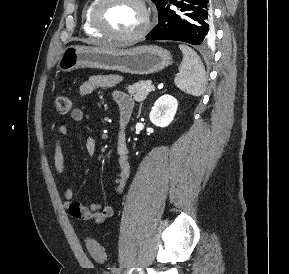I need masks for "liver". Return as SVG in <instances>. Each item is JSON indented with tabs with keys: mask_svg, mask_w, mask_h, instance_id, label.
Segmentation results:
<instances>
[{
	"mask_svg": "<svg viewBox=\"0 0 289 274\" xmlns=\"http://www.w3.org/2000/svg\"><path fill=\"white\" fill-rule=\"evenodd\" d=\"M98 48H102V49H116L115 46L107 45V44H98Z\"/></svg>",
	"mask_w": 289,
	"mask_h": 274,
	"instance_id": "1",
	"label": "liver"
}]
</instances>
